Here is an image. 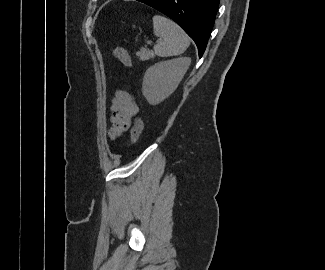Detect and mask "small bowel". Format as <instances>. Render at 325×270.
<instances>
[{
    "label": "small bowel",
    "instance_id": "c3829d8e",
    "mask_svg": "<svg viewBox=\"0 0 325 270\" xmlns=\"http://www.w3.org/2000/svg\"><path fill=\"white\" fill-rule=\"evenodd\" d=\"M111 128L109 136L115 138L127 130L139 113V106L132 94L128 91L119 90L111 103Z\"/></svg>",
    "mask_w": 325,
    "mask_h": 270
}]
</instances>
